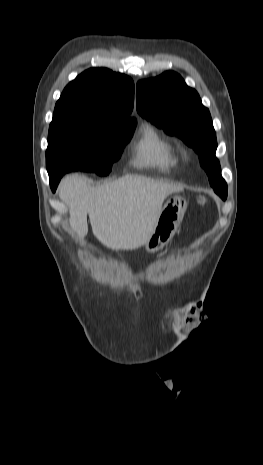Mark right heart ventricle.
Masks as SVG:
<instances>
[{"instance_id": "1", "label": "right heart ventricle", "mask_w": 263, "mask_h": 465, "mask_svg": "<svg viewBox=\"0 0 263 465\" xmlns=\"http://www.w3.org/2000/svg\"><path fill=\"white\" fill-rule=\"evenodd\" d=\"M133 163L136 166L170 172L179 158L175 146L154 127L145 125L133 146Z\"/></svg>"}]
</instances>
